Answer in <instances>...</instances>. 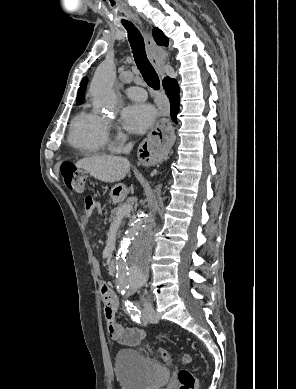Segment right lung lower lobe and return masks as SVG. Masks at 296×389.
Here are the masks:
<instances>
[{
    "instance_id": "right-lung-lower-lobe-1",
    "label": "right lung lower lobe",
    "mask_w": 296,
    "mask_h": 389,
    "mask_svg": "<svg viewBox=\"0 0 296 389\" xmlns=\"http://www.w3.org/2000/svg\"><path fill=\"white\" fill-rule=\"evenodd\" d=\"M163 87L167 93V96L170 99L171 118L175 123H177V114L179 112V104H180L178 83L176 82L175 79H171L169 77H166L163 80Z\"/></svg>"
}]
</instances>
